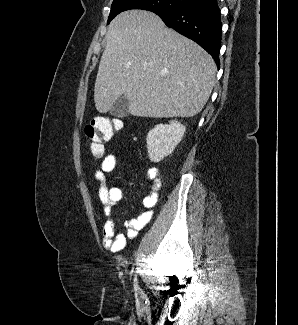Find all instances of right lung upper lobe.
Returning <instances> with one entry per match:
<instances>
[{"label": "right lung upper lobe", "mask_w": 298, "mask_h": 325, "mask_svg": "<svg viewBox=\"0 0 298 325\" xmlns=\"http://www.w3.org/2000/svg\"><path fill=\"white\" fill-rule=\"evenodd\" d=\"M157 12L160 13V12H164V11H162V10H158Z\"/></svg>", "instance_id": "1"}]
</instances>
